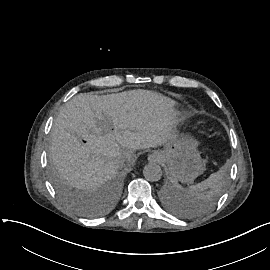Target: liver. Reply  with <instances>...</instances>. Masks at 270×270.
Here are the masks:
<instances>
[{"mask_svg":"<svg viewBox=\"0 0 270 270\" xmlns=\"http://www.w3.org/2000/svg\"><path fill=\"white\" fill-rule=\"evenodd\" d=\"M174 105L171 98L143 89L103 96L80 93L55 119L49 159L69 185L97 190L125 161H133L134 151L171 139L175 121L165 116Z\"/></svg>","mask_w":270,"mask_h":270,"instance_id":"liver-1","label":"liver"}]
</instances>
